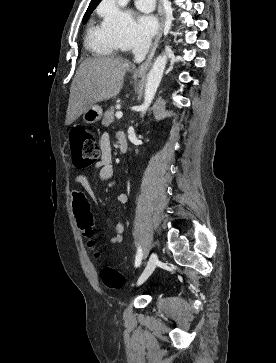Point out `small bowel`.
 <instances>
[{
    "label": "small bowel",
    "mask_w": 276,
    "mask_h": 363,
    "mask_svg": "<svg viewBox=\"0 0 276 363\" xmlns=\"http://www.w3.org/2000/svg\"><path fill=\"white\" fill-rule=\"evenodd\" d=\"M101 158L96 163L95 167L98 169L99 178L103 181L112 179L114 175V167L111 162V140L108 134H103L100 139ZM74 182L83 188H75L71 191L72 206L74 212L77 214V219L87 216L92 222V214L90 212V202L85 190L87 179L84 175L78 174L74 177ZM117 201L120 204H129V197L124 193L117 195ZM83 235L91 240L94 237L95 230L93 224L89 229L83 230ZM125 226L118 222L115 224V234L111 237L112 244H119L123 241Z\"/></svg>",
    "instance_id": "c3829d8e"
}]
</instances>
